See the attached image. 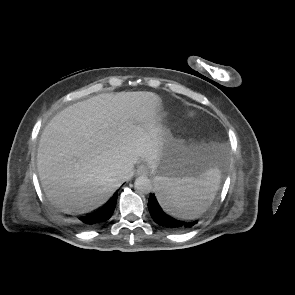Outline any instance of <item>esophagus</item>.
<instances>
[{"label":"esophagus","instance_id":"obj_1","mask_svg":"<svg viewBox=\"0 0 295 295\" xmlns=\"http://www.w3.org/2000/svg\"><path fill=\"white\" fill-rule=\"evenodd\" d=\"M148 168L146 167V166H144V165H141V166H139L138 167V169H137V174L138 175H146V174H148Z\"/></svg>","mask_w":295,"mask_h":295}]
</instances>
